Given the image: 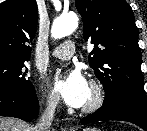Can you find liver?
<instances>
[{
  "instance_id": "obj_1",
  "label": "liver",
  "mask_w": 147,
  "mask_h": 131,
  "mask_svg": "<svg viewBox=\"0 0 147 131\" xmlns=\"http://www.w3.org/2000/svg\"><path fill=\"white\" fill-rule=\"evenodd\" d=\"M0 131H34V127L16 118L0 116Z\"/></svg>"
}]
</instances>
